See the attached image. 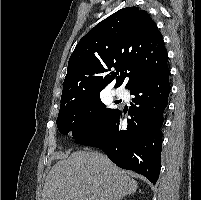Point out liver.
I'll list each match as a JSON object with an SVG mask.
<instances>
[{"label": "liver", "instance_id": "6515ba94", "mask_svg": "<svg viewBox=\"0 0 201 200\" xmlns=\"http://www.w3.org/2000/svg\"><path fill=\"white\" fill-rule=\"evenodd\" d=\"M137 182L101 153L85 149L58 161L43 187L42 200H121Z\"/></svg>", "mask_w": 201, "mask_h": 200}]
</instances>
